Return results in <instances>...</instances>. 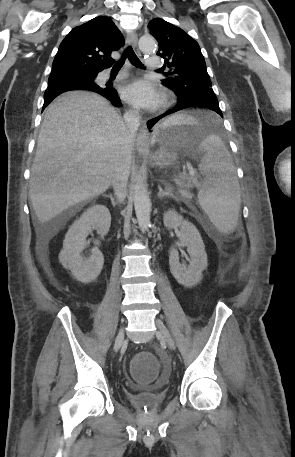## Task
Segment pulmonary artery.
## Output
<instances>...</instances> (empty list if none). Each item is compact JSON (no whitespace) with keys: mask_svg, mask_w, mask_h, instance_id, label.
<instances>
[{"mask_svg":"<svg viewBox=\"0 0 295 457\" xmlns=\"http://www.w3.org/2000/svg\"><path fill=\"white\" fill-rule=\"evenodd\" d=\"M146 66L151 70L158 69L161 66V60L157 56H150L146 59ZM108 77V74L103 76L104 79H108Z\"/></svg>","mask_w":295,"mask_h":457,"instance_id":"1","label":"pulmonary artery"}]
</instances>
